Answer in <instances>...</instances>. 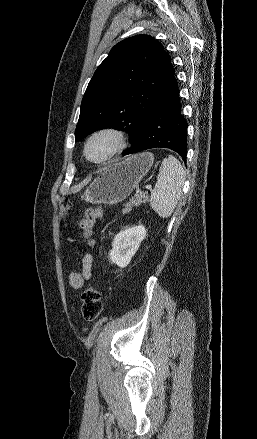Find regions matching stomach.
I'll return each instance as SVG.
<instances>
[{
	"mask_svg": "<svg viewBox=\"0 0 257 439\" xmlns=\"http://www.w3.org/2000/svg\"><path fill=\"white\" fill-rule=\"evenodd\" d=\"M154 162L152 153L132 155L99 175L86 189L85 199L92 204L113 205L125 200L148 173ZM70 209L67 205L65 215Z\"/></svg>",
	"mask_w": 257,
	"mask_h": 439,
	"instance_id": "0dacf381",
	"label": "stomach"
}]
</instances>
